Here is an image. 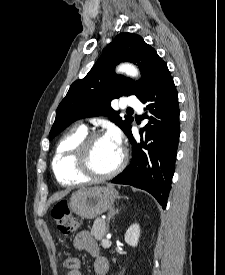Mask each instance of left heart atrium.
<instances>
[{
  "instance_id": "39dd6f15",
  "label": "left heart atrium",
  "mask_w": 225,
  "mask_h": 275,
  "mask_svg": "<svg viewBox=\"0 0 225 275\" xmlns=\"http://www.w3.org/2000/svg\"><path fill=\"white\" fill-rule=\"evenodd\" d=\"M105 137L114 145L121 148V134L118 129L110 128Z\"/></svg>"
}]
</instances>
